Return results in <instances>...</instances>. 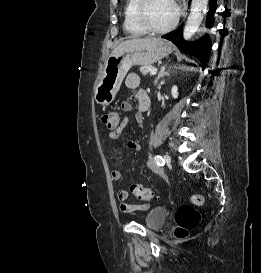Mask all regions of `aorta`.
I'll return each mask as SVG.
<instances>
[{
	"label": "aorta",
	"instance_id": "762f6f07",
	"mask_svg": "<svg viewBox=\"0 0 261 273\" xmlns=\"http://www.w3.org/2000/svg\"><path fill=\"white\" fill-rule=\"evenodd\" d=\"M207 5L208 0H192L191 10L183 31V37L185 40H190L197 32L203 20Z\"/></svg>",
	"mask_w": 261,
	"mask_h": 273
}]
</instances>
